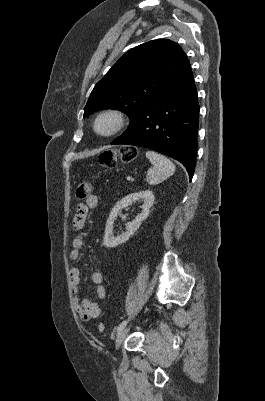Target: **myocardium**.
Segmentation results:
<instances>
[{
  "label": "myocardium",
  "mask_w": 265,
  "mask_h": 401,
  "mask_svg": "<svg viewBox=\"0 0 265 401\" xmlns=\"http://www.w3.org/2000/svg\"><path fill=\"white\" fill-rule=\"evenodd\" d=\"M104 118L110 119L112 121V128L107 133H102L98 129L99 122ZM124 124H125L124 112L117 108H110L102 111L95 117L93 122V130L97 136L102 138H109L119 133L123 128Z\"/></svg>",
  "instance_id": "f54148a6"
}]
</instances>
